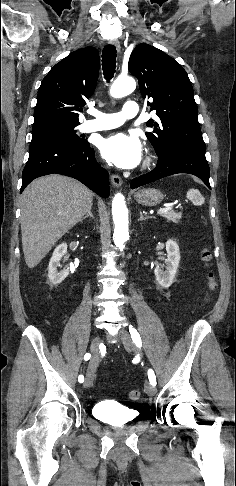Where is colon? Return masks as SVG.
Segmentation results:
<instances>
[{
  "label": "colon",
  "mask_w": 236,
  "mask_h": 486,
  "mask_svg": "<svg viewBox=\"0 0 236 486\" xmlns=\"http://www.w3.org/2000/svg\"><path fill=\"white\" fill-rule=\"evenodd\" d=\"M211 258V255L209 253V251L207 250H204L203 253H202V259L205 261V262H208ZM208 280H209V286L211 289H213L215 287V281H214V275L212 272H209L208 273ZM141 396V392L140 390L138 389H134V390H131L129 392V398L131 400H138Z\"/></svg>",
  "instance_id": "5ec220e1"
}]
</instances>
